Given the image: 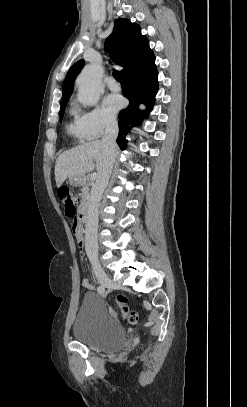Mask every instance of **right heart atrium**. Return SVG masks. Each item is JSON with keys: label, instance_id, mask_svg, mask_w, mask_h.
<instances>
[{"label": "right heart atrium", "instance_id": "obj_1", "mask_svg": "<svg viewBox=\"0 0 247 407\" xmlns=\"http://www.w3.org/2000/svg\"><path fill=\"white\" fill-rule=\"evenodd\" d=\"M79 122L87 139H96L116 124L114 117L100 106L79 113Z\"/></svg>", "mask_w": 247, "mask_h": 407}]
</instances>
